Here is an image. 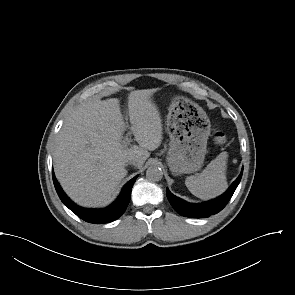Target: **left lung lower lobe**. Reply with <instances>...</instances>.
<instances>
[{"instance_id": "0a47b994", "label": "left lung lower lobe", "mask_w": 295, "mask_h": 295, "mask_svg": "<svg viewBox=\"0 0 295 295\" xmlns=\"http://www.w3.org/2000/svg\"><path fill=\"white\" fill-rule=\"evenodd\" d=\"M242 174L243 171L224 194L207 202L199 204L188 203L173 195L168 189L167 198L174 210L180 215L190 218H207L211 215L217 214L226 206L235 192Z\"/></svg>"}]
</instances>
